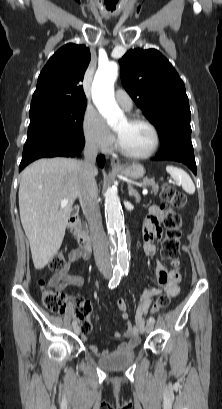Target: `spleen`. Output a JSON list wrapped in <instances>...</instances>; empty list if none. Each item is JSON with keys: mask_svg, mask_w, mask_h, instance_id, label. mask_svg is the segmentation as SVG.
Masks as SVG:
<instances>
[{"mask_svg": "<svg viewBox=\"0 0 222 409\" xmlns=\"http://www.w3.org/2000/svg\"><path fill=\"white\" fill-rule=\"evenodd\" d=\"M166 171L172 176V178L179 182L183 190L188 194L195 192V186L190 176L183 170L174 166H167Z\"/></svg>", "mask_w": 222, "mask_h": 409, "instance_id": "3e777b00", "label": "spleen"}]
</instances>
